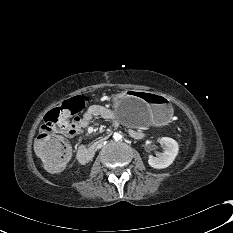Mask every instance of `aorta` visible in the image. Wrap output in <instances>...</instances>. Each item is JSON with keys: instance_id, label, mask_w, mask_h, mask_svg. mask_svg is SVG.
I'll use <instances>...</instances> for the list:
<instances>
[{"instance_id": "762f6f07", "label": "aorta", "mask_w": 233, "mask_h": 233, "mask_svg": "<svg viewBox=\"0 0 233 233\" xmlns=\"http://www.w3.org/2000/svg\"><path fill=\"white\" fill-rule=\"evenodd\" d=\"M113 138L116 140V141H120L122 139V135L120 133H114L113 134Z\"/></svg>"}]
</instances>
